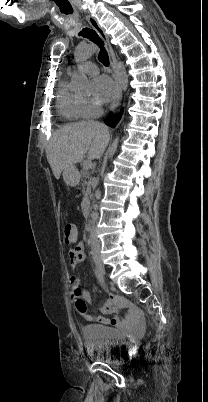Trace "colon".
I'll return each mask as SVG.
<instances>
[{"instance_id":"colon-1","label":"colon","mask_w":208,"mask_h":402,"mask_svg":"<svg viewBox=\"0 0 208 402\" xmlns=\"http://www.w3.org/2000/svg\"><path fill=\"white\" fill-rule=\"evenodd\" d=\"M78 239H79V237H78V232H77L76 226L72 223H66L63 226L64 242L68 245L76 244ZM73 302H74V307L78 312L84 313L86 311V303L82 298L75 297Z\"/></svg>"}]
</instances>
